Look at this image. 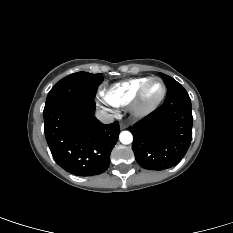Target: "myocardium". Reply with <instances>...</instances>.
<instances>
[{
	"mask_svg": "<svg viewBox=\"0 0 233 233\" xmlns=\"http://www.w3.org/2000/svg\"><path fill=\"white\" fill-rule=\"evenodd\" d=\"M154 80H157V81H159L161 83L162 93L155 102H153L151 104H145L144 103L145 91H146L148 85ZM166 93H167V87H166V84L163 81V79H161L160 77H149L140 86V88L136 92L133 100L131 101V103H130L131 104L130 105L131 111L133 112V114L135 116H138V117H143V116H146V115L152 113L153 111H155L161 105V103L163 102V100H164V98L166 96Z\"/></svg>",
	"mask_w": 233,
	"mask_h": 233,
	"instance_id": "1",
	"label": "myocardium"
}]
</instances>
